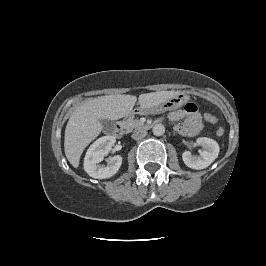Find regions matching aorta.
Listing matches in <instances>:
<instances>
[{
    "instance_id": "aorta-1",
    "label": "aorta",
    "mask_w": 266,
    "mask_h": 266,
    "mask_svg": "<svg viewBox=\"0 0 266 266\" xmlns=\"http://www.w3.org/2000/svg\"><path fill=\"white\" fill-rule=\"evenodd\" d=\"M152 132L155 136H162L165 133V127L162 124H156L152 128Z\"/></svg>"
}]
</instances>
